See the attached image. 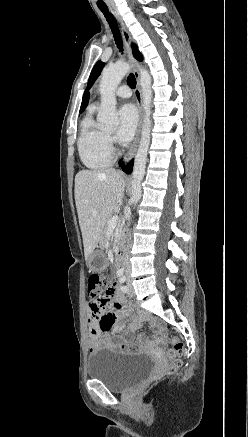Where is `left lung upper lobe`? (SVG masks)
<instances>
[{"mask_svg":"<svg viewBox=\"0 0 248 437\" xmlns=\"http://www.w3.org/2000/svg\"><path fill=\"white\" fill-rule=\"evenodd\" d=\"M132 48H133V54H134V56L136 57V59L139 60V61H142L143 57H142V55L140 54V52L138 51L137 47L133 44V45H132ZM104 65H105V64H104L103 62H101V61H98V62L95 64V66H94V68L92 69V72H91V74H90V77H89V80H88V84H87V88H86L85 92H87V91L91 88V86L93 85V83L95 82V80H96V79L98 78V76L100 75V73H101V71H102Z\"/></svg>","mask_w":248,"mask_h":437,"instance_id":"left-lung-upper-lobe-1","label":"left lung upper lobe"}]
</instances>
